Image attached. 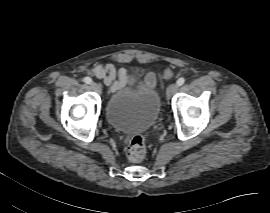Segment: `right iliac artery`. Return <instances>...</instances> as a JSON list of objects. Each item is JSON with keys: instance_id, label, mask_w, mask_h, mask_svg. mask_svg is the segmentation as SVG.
<instances>
[{"instance_id": "obj_1", "label": "right iliac artery", "mask_w": 270, "mask_h": 213, "mask_svg": "<svg viewBox=\"0 0 270 213\" xmlns=\"http://www.w3.org/2000/svg\"><path fill=\"white\" fill-rule=\"evenodd\" d=\"M84 81L87 83V84H91L92 83V79L90 77H85L84 78Z\"/></svg>"}]
</instances>
